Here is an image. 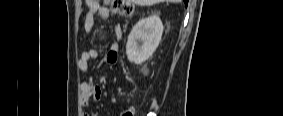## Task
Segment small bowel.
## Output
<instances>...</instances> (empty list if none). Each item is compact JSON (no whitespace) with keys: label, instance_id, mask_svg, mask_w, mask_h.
<instances>
[{"label":"small bowel","instance_id":"c3829d8e","mask_svg":"<svg viewBox=\"0 0 283 116\" xmlns=\"http://www.w3.org/2000/svg\"><path fill=\"white\" fill-rule=\"evenodd\" d=\"M87 9L84 13V32L88 35L93 26L96 17L106 20L110 17L109 10L101 6L96 0L86 1ZM115 37L116 40L110 44L106 52L105 60L108 63H115L117 60V51L119 49V40L122 36V27L120 24L115 26ZM98 57L97 50L89 48L81 53V56L77 62L79 69L86 72L89 69V62ZM101 89L99 86L95 85L91 80H86L81 84V95H82V105L88 107L93 101H98L101 97Z\"/></svg>","mask_w":283,"mask_h":116}]
</instances>
